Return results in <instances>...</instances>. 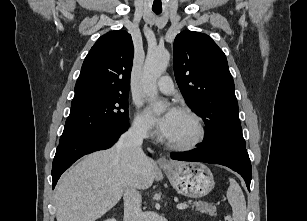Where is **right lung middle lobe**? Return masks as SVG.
Instances as JSON below:
<instances>
[{"mask_svg":"<svg viewBox=\"0 0 307 221\" xmlns=\"http://www.w3.org/2000/svg\"><path fill=\"white\" fill-rule=\"evenodd\" d=\"M128 121V93L72 102L59 143L126 125Z\"/></svg>","mask_w":307,"mask_h":221,"instance_id":"1","label":"right lung middle lobe"}]
</instances>
